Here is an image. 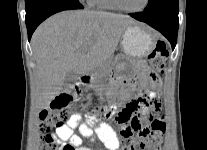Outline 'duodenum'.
I'll return each instance as SVG.
<instances>
[{"mask_svg": "<svg viewBox=\"0 0 207 150\" xmlns=\"http://www.w3.org/2000/svg\"><path fill=\"white\" fill-rule=\"evenodd\" d=\"M91 80H92V78H91L90 75H88V74H83V75L79 78V80H78V82L76 83V85H77L78 87H80V86H85V85H88V84L91 82Z\"/></svg>", "mask_w": 207, "mask_h": 150, "instance_id": "duodenum-1", "label": "duodenum"}]
</instances>
